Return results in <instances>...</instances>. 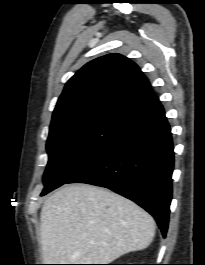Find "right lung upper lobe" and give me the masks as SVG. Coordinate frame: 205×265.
Here are the masks:
<instances>
[{
  "label": "right lung upper lobe",
  "instance_id": "obj_1",
  "mask_svg": "<svg viewBox=\"0 0 205 265\" xmlns=\"http://www.w3.org/2000/svg\"><path fill=\"white\" fill-rule=\"evenodd\" d=\"M157 101L134 62L120 54H108L84 65L66 83L49 133L100 122L125 125Z\"/></svg>",
  "mask_w": 205,
  "mask_h": 265
}]
</instances>
